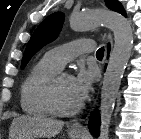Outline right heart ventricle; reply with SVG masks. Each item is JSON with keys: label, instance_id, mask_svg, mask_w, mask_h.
<instances>
[{"label": "right heart ventricle", "instance_id": "e07e8e85", "mask_svg": "<svg viewBox=\"0 0 141 139\" xmlns=\"http://www.w3.org/2000/svg\"><path fill=\"white\" fill-rule=\"evenodd\" d=\"M60 71L45 57L40 59L25 77L20 90L22 110L31 116L47 117L50 112L45 99V88L53 75Z\"/></svg>", "mask_w": 141, "mask_h": 139}]
</instances>
